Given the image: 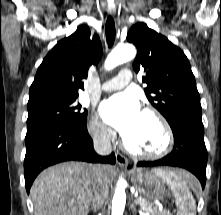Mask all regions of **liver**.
Here are the masks:
<instances>
[{"mask_svg":"<svg viewBox=\"0 0 221 215\" xmlns=\"http://www.w3.org/2000/svg\"><path fill=\"white\" fill-rule=\"evenodd\" d=\"M94 165L65 162L49 167L35 179L30 196L34 215H88L96 177ZM114 167L104 166L110 184Z\"/></svg>","mask_w":221,"mask_h":215,"instance_id":"obj_1","label":"liver"}]
</instances>
